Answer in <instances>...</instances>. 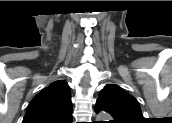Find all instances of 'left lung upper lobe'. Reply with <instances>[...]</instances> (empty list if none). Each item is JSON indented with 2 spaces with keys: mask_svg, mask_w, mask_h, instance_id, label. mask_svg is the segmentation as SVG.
<instances>
[{
  "mask_svg": "<svg viewBox=\"0 0 172 123\" xmlns=\"http://www.w3.org/2000/svg\"><path fill=\"white\" fill-rule=\"evenodd\" d=\"M101 110L112 115V123H143L144 120L138 101L117 85H107L101 90L95 112Z\"/></svg>",
  "mask_w": 172,
  "mask_h": 123,
  "instance_id": "obj_1",
  "label": "left lung upper lobe"
}]
</instances>
